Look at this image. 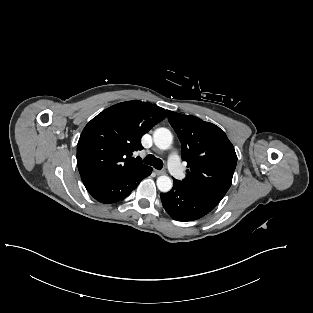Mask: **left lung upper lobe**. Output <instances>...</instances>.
<instances>
[{
	"label": "left lung upper lobe",
	"instance_id": "obj_1",
	"mask_svg": "<svg viewBox=\"0 0 313 313\" xmlns=\"http://www.w3.org/2000/svg\"><path fill=\"white\" fill-rule=\"evenodd\" d=\"M168 120L182 145L187 162V189L221 201L232 183L237 155L225 132L195 116L168 112Z\"/></svg>",
	"mask_w": 313,
	"mask_h": 313
}]
</instances>
